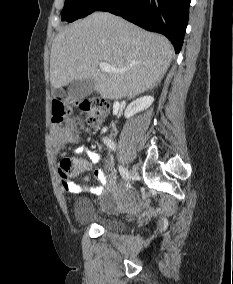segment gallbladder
Masks as SVG:
<instances>
[{
	"instance_id": "bac80fb5",
	"label": "gallbladder",
	"mask_w": 233,
	"mask_h": 284,
	"mask_svg": "<svg viewBox=\"0 0 233 284\" xmlns=\"http://www.w3.org/2000/svg\"><path fill=\"white\" fill-rule=\"evenodd\" d=\"M94 91L95 85L93 80H74L69 84L67 91L57 89L55 96L61 98L67 97L69 100H78L89 96Z\"/></svg>"
}]
</instances>
